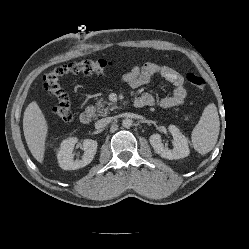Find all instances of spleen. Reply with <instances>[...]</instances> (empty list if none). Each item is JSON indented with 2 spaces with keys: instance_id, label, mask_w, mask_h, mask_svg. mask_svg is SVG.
I'll return each instance as SVG.
<instances>
[{
  "instance_id": "3e777b00",
  "label": "spleen",
  "mask_w": 249,
  "mask_h": 249,
  "mask_svg": "<svg viewBox=\"0 0 249 249\" xmlns=\"http://www.w3.org/2000/svg\"><path fill=\"white\" fill-rule=\"evenodd\" d=\"M220 130V121L215 104L205 107L202 116L192 131L191 139L194 149L201 155L210 152L215 146Z\"/></svg>"
}]
</instances>
